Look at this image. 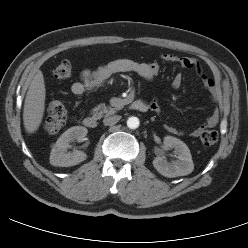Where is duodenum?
Here are the masks:
<instances>
[{
  "label": "duodenum",
  "instance_id": "obj_1",
  "mask_svg": "<svg viewBox=\"0 0 248 248\" xmlns=\"http://www.w3.org/2000/svg\"><path fill=\"white\" fill-rule=\"evenodd\" d=\"M124 103L130 105L131 108L137 112H145L150 109L149 102L144 101L142 99L135 100L130 96L124 99ZM99 119H100L99 114H92V115L86 116L83 119V125L90 129L96 128L98 125Z\"/></svg>",
  "mask_w": 248,
  "mask_h": 248
}]
</instances>
